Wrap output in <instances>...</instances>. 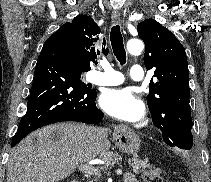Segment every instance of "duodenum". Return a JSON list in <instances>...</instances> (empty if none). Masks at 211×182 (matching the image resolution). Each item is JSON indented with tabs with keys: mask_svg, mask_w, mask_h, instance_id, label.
Returning <instances> with one entry per match:
<instances>
[{
	"mask_svg": "<svg viewBox=\"0 0 211 182\" xmlns=\"http://www.w3.org/2000/svg\"><path fill=\"white\" fill-rule=\"evenodd\" d=\"M70 182H78L77 179H72Z\"/></svg>",
	"mask_w": 211,
	"mask_h": 182,
	"instance_id": "410a0bca",
	"label": "duodenum"
}]
</instances>
